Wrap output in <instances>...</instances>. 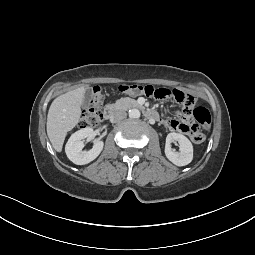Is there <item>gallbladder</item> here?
I'll return each mask as SVG.
<instances>
[{"instance_id":"bac80fb5","label":"gallbladder","mask_w":255,"mask_h":255,"mask_svg":"<svg viewBox=\"0 0 255 255\" xmlns=\"http://www.w3.org/2000/svg\"><path fill=\"white\" fill-rule=\"evenodd\" d=\"M91 96H92V91L90 89H87L84 93V98H83V102H82L83 106L88 105V103L90 102Z\"/></svg>"}]
</instances>
